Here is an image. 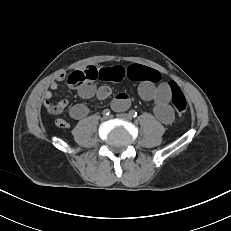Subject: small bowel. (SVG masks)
Masks as SVG:
<instances>
[{
    "label": "small bowel",
    "instance_id": "obj_1",
    "mask_svg": "<svg viewBox=\"0 0 231 231\" xmlns=\"http://www.w3.org/2000/svg\"><path fill=\"white\" fill-rule=\"evenodd\" d=\"M143 66L133 64L129 67L123 66H96L88 65L81 71L84 76V82L78 87V94L83 99H89L97 97L99 100L108 98L112 91L109 86L96 87L95 80L105 81H120L125 77H129L139 82L138 93L139 96L145 101L153 102V110L156 117L164 124H170L174 119V113L170 106L171 90L167 83H161L155 85V83L147 80L141 76V69ZM65 74H60L57 79L52 81L49 85V89L44 93V105L48 109L53 105L51 99L53 97V91L58 88V82L65 79ZM61 108H65L68 105L66 99L57 103ZM130 105V99L127 94L119 93L112 101V107L116 111L126 110ZM88 108L83 104H76L70 107L69 115L75 120H81L88 115ZM56 125L61 128H68L70 124L63 120L57 119Z\"/></svg>",
    "mask_w": 231,
    "mask_h": 231
}]
</instances>
